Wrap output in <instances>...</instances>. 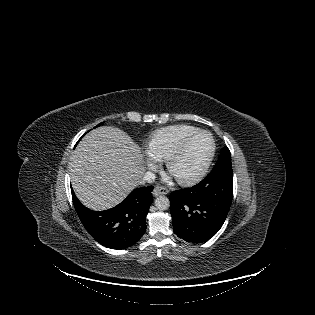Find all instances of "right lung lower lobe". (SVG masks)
<instances>
[{
  "label": "right lung lower lobe",
  "mask_w": 315,
  "mask_h": 315,
  "mask_svg": "<svg viewBox=\"0 0 315 315\" xmlns=\"http://www.w3.org/2000/svg\"><path fill=\"white\" fill-rule=\"evenodd\" d=\"M153 186L133 190L116 207L105 211L86 208L72 191L75 210L89 234L111 249H125L145 233L146 215L152 203Z\"/></svg>",
  "instance_id": "98d812e1"
}]
</instances>
